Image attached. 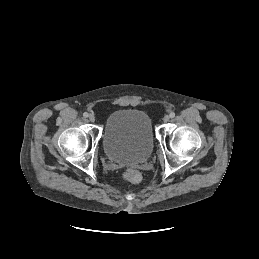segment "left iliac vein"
Returning <instances> with one entry per match:
<instances>
[{"label":"left iliac vein","instance_id":"left-iliac-vein-1","mask_svg":"<svg viewBox=\"0 0 259 259\" xmlns=\"http://www.w3.org/2000/svg\"><path fill=\"white\" fill-rule=\"evenodd\" d=\"M170 117L168 115L164 116L163 121L167 123L169 121Z\"/></svg>","mask_w":259,"mask_h":259}]
</instances>
